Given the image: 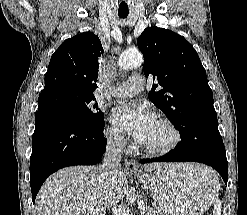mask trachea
<instances>
[{
  "label": "trachea",
  "instance_id": "trachea-1",
  "mask_svg": "<svg viewBox=\"0 0 247 215\" xmlns=\"http://www.w3.org/2000/svg\"><path fill=\"white\" fill-rule=\"evenodd\" d=\"M120 18H127L128 13H118Z\"/></svg>",
  "mask_w": 247,
  "mask_h": 215
}]
</instances>
